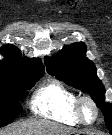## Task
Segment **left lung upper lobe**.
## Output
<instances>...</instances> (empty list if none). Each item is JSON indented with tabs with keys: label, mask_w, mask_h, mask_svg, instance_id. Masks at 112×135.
Wrapping results in <instances>:
<instances>
[{
	"label": "left lung upper lobe",
	"mask_w": 112,
	"mask_h": 135,
	"mask_svg": "<svg viewBox=\"0 0 112 135\" xmlns=\"http://www.w3.org/2000/svg\"><path fill=\"white\" fill-rule=\"evenodd\" d=\"M45 64L50 74L91 95L112 133V104L104 102L105 89L96 75L95 65L86 58V45L83 42L67 45L54 57H46Z\"/></svg>",
	"instance_id": "left-lung-upper-lobe-1"
}]
</instances>
